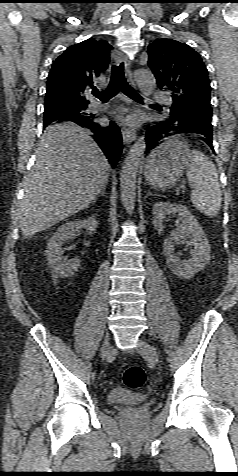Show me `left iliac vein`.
I'll return each instance as SVG.
<instances>
[{
    "label": "left iliac vein",
    "instance_id": "obj_1",
    "mask_svg": "<svg viewBox=\"0 0 238 476\" xmlns=\"http://www.w3.org/2000/svg\"><path fill=\"white\" fill-rule=\"evenodd\" d=\"M137 351L140 354L148 357L153 362L158 361V355H157L156 349L152 345L148 344L147 342L143 340L138 341Z\"/></svg>",
    "mask_w": 238,
    "mask_h": 476
}]
</instances>
